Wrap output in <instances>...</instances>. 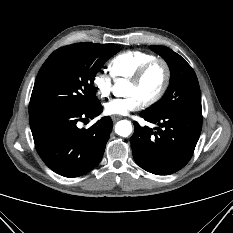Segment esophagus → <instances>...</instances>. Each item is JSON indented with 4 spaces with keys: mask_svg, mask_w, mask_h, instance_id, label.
I'll return each instance as SVG.
<instances>
[{
    "mask_svg": "<svg viewBox=\"0 0 233 233\" xmlns=\"http://www.w3.org/2000/svg\"><path fill=\"white\" fill-rule=\"evenodd\" d=\"M111 118H112L113 122H116V121H118L121 117L118 116V115H113V116H111Z\"/></svg>",
    "mask_w": 233,
    "mask_h": 233,
    "instance_id": "34e87169",
    "label": "esophagus"
}]
</instances>
